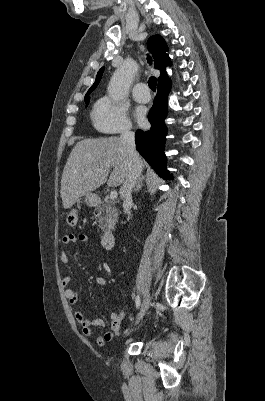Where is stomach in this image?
I'll list each match as a JSON object with an SVG mask.
<instances>
[{
	"label": "stomach",
	"instance_id": "obj_1",
	"mask_svg": "<svg viewBox=\"0 0 265 401\" xmlns=\"http://www.w3.org/2000/svg\"><path fill=\"white\" fill-rule=\"evenodd\" d=\"M84 203H86L88 207H95V205H97L96 194H85Z\"/></svg>",
	"mask_w": 265,
	"mask_h": 401
}]
</instances>
